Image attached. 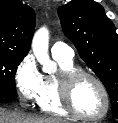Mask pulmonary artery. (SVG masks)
I'll return each mask as SVG.
<instances>
[{"instance_id": "e3ab8cb5", "label": "pulmonary artery", "mask_w": 118, "mask_h": 123, "mask_svg": "<svg viewBox=\"0 0 118 123\" xmlns=\"http://www.w3.org/2000/svg\"><path fill=\"white\" fill-rule=\"evenodd\" d=\"M51 54L55 59L72 61L74 50L63 42H56L51 47Z\"/></svg>"}]
</instances>
